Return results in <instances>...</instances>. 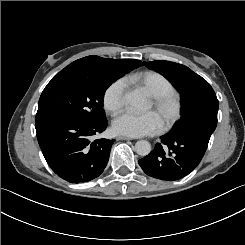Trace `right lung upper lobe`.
Masks as SVG:
<instances>
[{"mask_svg": "<svg viewBox=\"0 0 245 245\" xmlns=\"http://www.w3.org/2000/svg\"><path fill=\"white\" fill-rule=\"evenodd\" d=\"M88 58L92 59H99V60H105V61H111V62H125L133 65L135 68L141 66L143 63L139 60L135 59H109V58H101L98 56H87Z\"/></svg>", "mask_w": 245, "mask_h": 245, "instance_id": "obj_1", "label": "right lung upper lobe"}]
</instances>
